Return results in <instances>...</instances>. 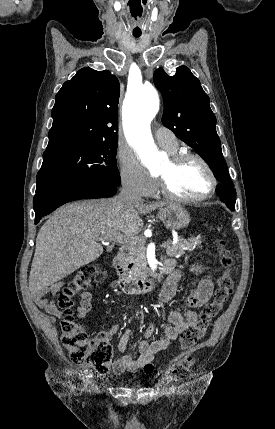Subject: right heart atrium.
I'll return each mask as SVG.
<instances>
[{
	"label": "right heart atrium",
	"instance_id": "1",
	"mask_svg": "<svg viewBox=\"0 0 275 429\" xmlns=\"http://www.w3.org/2000/svg\"><path fill=\"white\" fill-rule=\"evenodd\" d=\"M119 175L122 185L130 192L148 195L155 189V182L125 153L119 154Z\"/></svg>",
	"mask_w": 275,
	"mask_h": 429
}]
</instances>
